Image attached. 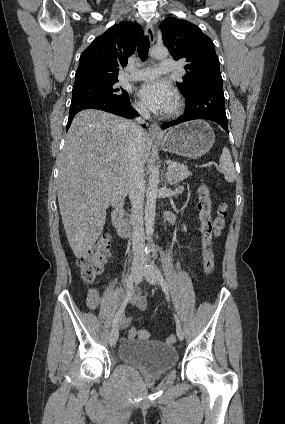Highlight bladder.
<instances>
[{
    "label": "bladder",
    "mask_w": 285,
    "mask_h": 424,
    "mask_svg": "<svg viewBox=\"0 0 285 424\" xmlns=\"http://www.w3.org/2000/svg\"><path fill=\"white\" fill-rule=\"evenodd\" d=\"M121 361L149 374H160L171 369L178 358L172 346L160 340H124L119 345Z\"/></svg>",
    "instance_id": "1"
}]
</instances>
